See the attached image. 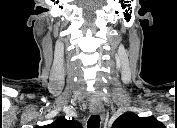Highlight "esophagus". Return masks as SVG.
<instances>
[{
	"label": "esophagus",
	"instance_id": "34e87169",
	"mask_svg": "<svg viewBox=\"0 0 177 128\" xmlns=\"http://www.w3.org/2000/svg\"><path fill=\"white\" fill-rule=\"evenodd\" d=\"M90 112L94 115H101L103 117L104 115V108L101 105H91L90 106Z\"/></svg>",
	"mask_w": 177,
	"mask_h": 128
}]
</instances>
